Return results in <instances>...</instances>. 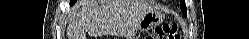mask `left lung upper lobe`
<instances>
[{
	"label": "left lung upper lobe",
	"instance_id": "5c2ea615",
	"mask_svg": "<svg viewBox=\"0 0 249 39\" xmlns=\"http://www.w3.org/2000/svg\"><path fill=\"white\" fill-rule=\"evenodd\" d=\"M180 7H181V10H182L183 14L186 15L187 14V8H186V6L184 4V0H180Z\"/></svg>",
	"mask_w": 249,
	"mask_h": 39
}]
</instances>
